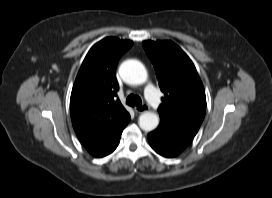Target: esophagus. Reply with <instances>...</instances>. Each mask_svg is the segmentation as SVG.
Wrapping results in <instances>:
<instances>
[{
    "label": "esophagus",
    "instance_id": "1",
    "mask_svg": "<svg viewBox=\"0 0 272 198\" xmlns=\"http://www.w3.org/2000/svg\"><path fill=\"white\" fill-rule=\"evenodd\" d=\"M134 110L136 113H143L149 110V106L146 104H143V105L135 107Z\"/></svg>",
    "mask_w": 272,
    "mask_h": 198
}]
</instances>
